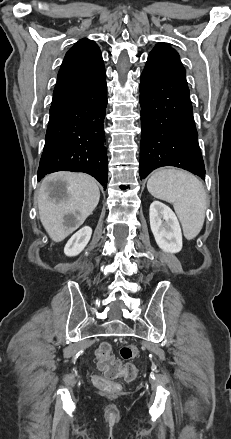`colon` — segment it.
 Instances as JSON below:
<instances>
[{
  "instance_id": "1",
  "label": "colon",
  "mask_w": 231,
  "mask_h": 439,
  "mask_svg": "<svg viewBox=\"0 0 231 439\" xmlns=\"http://www.w3.org/2000/svg\"><path fill=\"white\" fill-rule=\"evenodd\" d=\"M139 350L134 345H127L121 348L120 355L124 360L135 358ZM98 368L102 374L93 375L94 384L104 390H117L119 385L115 379L124 377L131 381L136 377V368L133 365H123L111 354L109 345L103 344L97 351Z\"/></svg>"
}]
</instances>
